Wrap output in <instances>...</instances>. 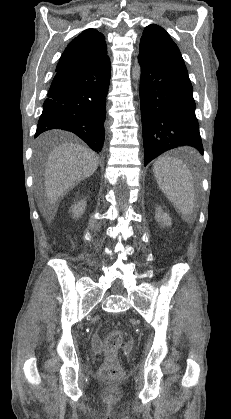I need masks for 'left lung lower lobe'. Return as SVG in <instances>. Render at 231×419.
<instances>
[{
    "instance_id": "1",
    "label": "left lung lower lobe",
    "mask_w": 231,
    "mask_h": 419,
    "mask_svg": "<svg viewBox=\"0 0 231 419\" xmlns=\"http://www.w3.org/2000/svg\"><path fill=\"white\" fill-rule=\"evenodd\" d=\"M138 61L144 165L161 153L181 146L194 147L203 154L187 70L147 62L139 56Z\"/></svg>"
}]
</instances>
